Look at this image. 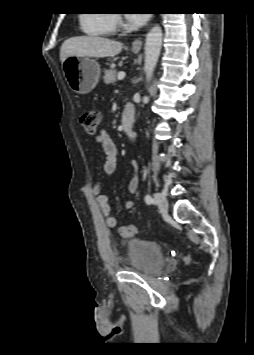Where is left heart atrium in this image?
Instances as JSON below:
<instances>
[{
  "label": "left heart atrium",
  "mask_w": 254,
  "mask_h": 355,
  "mask_svg": "<svg viewBox=\"0 0 254 355\" xmlns=\"http://www.w3.org/2000/svg\"><path fill=\"white\" fill-rule=\"evenodd\" d=\"M148 19V14L146 13H129L127 14V20L132 26H141Z\"/></svg>",
  "instance_id": "39dd6f15"
}]
</instances>
